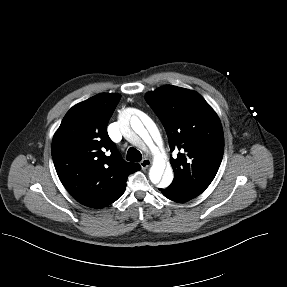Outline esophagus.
I'll return each instance as SVG.
<instances>
[{
	"mask_svg": "<svg viewBox=\"0 0 287 287\" xmlns=\"http://www.w3.org/2000/svg\"><path fill=\"white\" fill-rule=\"evenodd\" d=\"M140 165L142 167V169H146L151 165V160L148 158H144L141 162Z\"/></svg>",
	"mask_w": 287,
	"mask_h": 287,
	"instance_id": "34e87169",
	"label": "esophagus"
}]
</instances>
